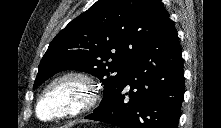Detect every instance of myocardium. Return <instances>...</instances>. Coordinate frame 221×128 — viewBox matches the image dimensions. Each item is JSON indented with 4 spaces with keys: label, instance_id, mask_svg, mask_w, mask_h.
I'll return each mask as SVG.
<instances>
[{
    "label": "myocardium",
    "instance_id": "obj_1",
    "mask_svg": "<svg viewBox=\"0 0 221 128\" xmlns=\"http://www.w3.org/2000/svg\"><path fill=\"white\" fill-rule=\"evenodd\" d=\"M63 85L72 86L75 93L73 100L66 106L54 110L48 116H43L42 107ZM99 95V85L91 74L82 70L67 71L54 77L44 87L35 105V115L45 123L78 116L91 109L98 101Z\"/></svg>",
    "mask_w": 221,
    "mask_h": 128
}]
</instances>
